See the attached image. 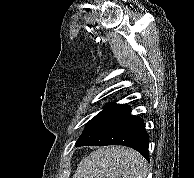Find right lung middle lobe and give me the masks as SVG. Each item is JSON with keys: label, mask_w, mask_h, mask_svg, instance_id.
<instances>
[{"label": "right lung middle lobe", "mask_w": 194, "mask_h": 178, "mask_svg": "<svg viewBox=\"0 0 194 178\" xmlns=\"http://www.w3.org/2000/svg\"><path fill=\"white\" fill-rule=\"evenodd\" d=\"M123 105L121 104H108L103 111H101L98 115H96L93 119H91L83 131V134L80 136L82 138L87 132H89L91 129H93L95 126H97L99 123H101L103 120H105L107 117H109L111 114L116 112L118 109H120ZM79 138V139H80Z\"/></svg>", "instance_id": "right-lung-middle-lobe-1"}]
</instances>
